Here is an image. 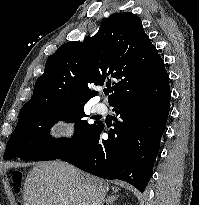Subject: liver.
Segmentation results:
<instances>
[{"label":"liver","instance_id":"6515ba94","mask_svg":"<svg viewBox=\"0 0 199 205\" xmlns=\"http://www.w3.org/2000/svg\"><path fill=\"white\" fill-rule=\"evenodd\" d=\"M109 184L62 161L40 162L23 187L24 205H103Z\"/></svg>","mask_w":199,"mask_h":205}]
</instances>
